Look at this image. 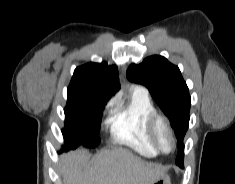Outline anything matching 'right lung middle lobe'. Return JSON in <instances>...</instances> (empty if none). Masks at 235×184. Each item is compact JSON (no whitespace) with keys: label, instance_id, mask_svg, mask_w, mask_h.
<instances>
[{"label":"right lung middle lobe","instance_id":"obj_1","mask_svg":"<svg viewBox=\"0 0 235 184\" xmlns=\"http://www.w3.org/2000/svg\"><path fill=\"white\" fill-rule=\"evenodd\" d=\"M67 97L65 128L62 130L66 148L98 146L101 141L100 117L105 105H89L86 94L80 92H67Z\"/></svg>","mask_w":235,"mask_h":184}]
</instances>
